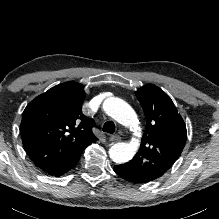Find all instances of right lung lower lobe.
Returning <instances> with one entry per match:
<instances>
[{
	"instance_id": "1",
	"label": "right lung lower lobe",
	"mask_w": 219,
	"mask_h": 219,
	"mask_svg": "<svg viewBox=\"0 0 219 219\" xmlns=\"http://www.w3.org/2000/svg\"><path fill=\"white\" fill-rule=\"evenodd\" d=\"M77 162L76 163H73L69 166H66L64 168H61V169H58V170H55V171H52V172H47V174L51 175V176H55V177H59V176H62L66 173H68L72 168H74L76 166Z\"/></svg>"
}]
</instances>
